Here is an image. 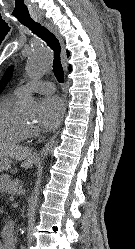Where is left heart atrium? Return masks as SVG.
<instances>
[{
	"instance_id": "39dd6f15",
	"label": "left heart atrium",
	"mask_w": 135,
	"mask_h": 249,
	"mask_svg": "<svg viewBox=\"0 0 135 249\" xmlns=\"http://www.w3.org/2000/svg\"><path fill=\"white\" fill-rule=\"evenodd\" d=\"M65 111L63 100L58 96H49L41 102L40 124L47 130L55 129L61 122Z\"/></svg>"
}]
</instances>
